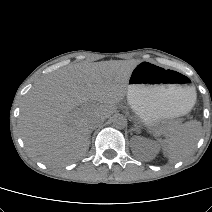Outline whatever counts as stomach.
<instances>
[{
	"label": "stomach",
	"mask_w": 212,
	"mask_h": 212,
	"mask_svg": "<svg viewBox=\"0 0 212 212\" xmlns=\"http://www.w3.org/2000/svg\"><path fill=\"white\" fill-rule=\"evenodd\" d=\"M127 99L141 121L154 127L162 119L186 114L195 103L196 92L182 74L144 61L131 72Z\"/></svg>",
	"instance_id": "obj_1"
}]
</instances>
